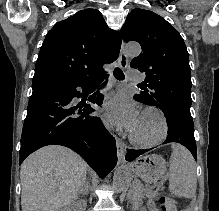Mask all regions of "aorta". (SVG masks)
Segmentation results:
<instances>
[{"label":"aorta","mask_w":219,"mask_h":211,"mask_svg":"<svg viewBox=\"0 0 219 211\" xmlns=\"http://www.w3.org/2000/svg\"><path fill=\"white\" fill-rule=\"evenodd\" d=\"M141 52V47L137 43H130L125 47V53L129 56H137ZM131 174L128 168L118 167L113 175V188L117 192L127 189L130 185Z\"/></svg>","instance_id":"1"}]
</instances>
